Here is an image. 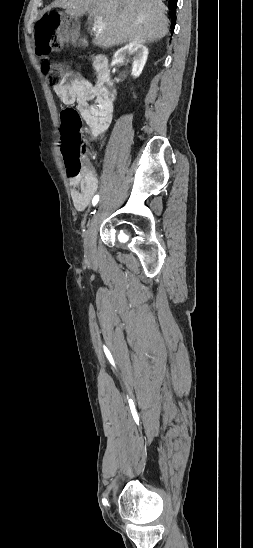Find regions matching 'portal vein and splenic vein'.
Segmentation results:
<instances>
[{"label": "portal vein and splenic vein", "mask_w": 253, "mask_h": 548, "mask_svg": "<svg viewBox=\"0 0 253 548\" xmlns=\"http://www.w3.org/2000/svg\"><path fill=\"white\" fill-rule=\"evenodd\" d=\"M103 27H104V24L102 22V17L101 16H95L94 28H95V30L98 34L102 31Z\"/></svg>", "instance_id": "portal-vein-and-splenic-vein-1"}]
</instances>
